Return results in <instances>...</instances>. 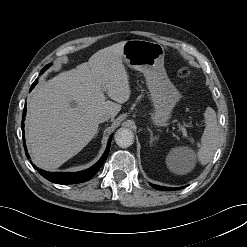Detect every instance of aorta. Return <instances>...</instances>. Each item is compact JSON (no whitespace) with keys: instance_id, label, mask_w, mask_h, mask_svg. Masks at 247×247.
<instances>
[{"instance_id":"obj_1","label":"aorta","mask_w":247,"mask_h":247,"mask_svg":"<svg viewBox=\"0 0 247 247\" xmlns=\"http://www.w3.org/2000/svg\"><path fill=\"white\" fill-rule=\"evenodd\" d=\"M115 142L119 147L126 148L133 144L134 142V134L128 128H120L116 131Z\"/></svg>"}]
</instances>
